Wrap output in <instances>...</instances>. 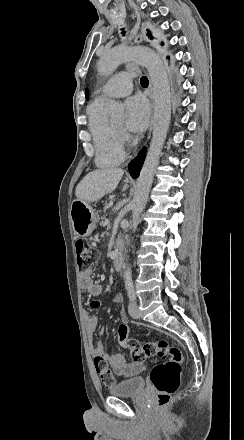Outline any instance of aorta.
Segmentation results:
<instances>
[{
    "instance_id": "obj_1",
    "label": "aorta",
    "mask_w": 244,
    "mask_h": 440,
    "mask_svg": "<svg viewBox=\"0 0 244 440\" xmlns=\"http://www.w3.org/2000/svg\"><path fill=\"white\" fill-rule=\"evenodd\" d=\"M128 60H133L147 68L154 96L152 139L131 202L132 219L136 221L146 205L152 186L154 173L169 128L172 103L166 68L159 55L149 48L116 47L100 58L98 71L101 75H110L119 64ZM106 109L111 119L120 120L123 118L124 107L121 103L111 100L107 103ZM124 279L126 285L132 284V272L129 266H126Z\"/></svg>"
}]
</instances>
